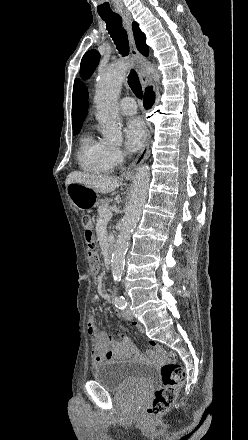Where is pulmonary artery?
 I'll use <instances>...</instances> for the list:
<instances>
[{
  "instance_id": "pulmonary-artery-1",
  "label": "pulmonary artery",
  "mask_w": 248,
  "mask_h": 440,
  "mask_svg": "<svg viewBox=\"0 0 248 440\" xmlns=\"http://www.w3.org/2000/svg\"><path fill=\"white\" fill-rule=\"evenodd\" d=\"M119 109L123 115H133L137 111V105L133 98L125 97L120 101Z\"/></svg>"
}]
</instances>
